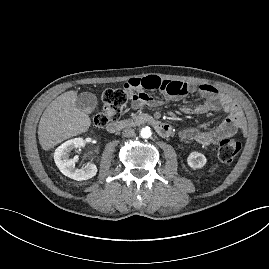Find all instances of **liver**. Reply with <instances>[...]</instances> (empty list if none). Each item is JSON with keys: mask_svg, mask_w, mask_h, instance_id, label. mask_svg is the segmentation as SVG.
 Returning <instances> with one entry per match:
<instances>
[{"mask_svg": "<svg viewBox=\"0 0 269 269\" xmlns=\"http://www.w3.org/2000/svg\"><path fill=\"white\" fill-rule=\"evenodd\" d=\"M77 92L67 91L53 100L45 109L38 126L39 143L50 150L62 141L86 132L91 119L76 106Z\"/></svg>", "mask_w": 269, "mask_h": 269, "instance_id": "6515ba94", "label": "liver"}]
</instances>
